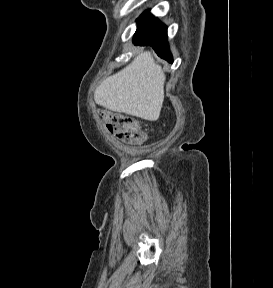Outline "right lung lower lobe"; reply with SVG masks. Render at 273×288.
Listing matches in <instances>:
<instances>
[{
    "mask_svg": "<svg viewBox=\"0 0 273 288\" xmlns=\"http://www.w3.org/2000/svg\"><path fill=\"white\" fill-rule=\"evenodd\" d=\"M137 22L138 28L134 35V43L152 46L161 58L172 63V55L169 52L167 42V27L149 11L144 12Z\"/></svg>",
    "mask_w": 273,
    "mask_h": 288,
    "instance_id": "right-lung-lower-lobe-1",
    "label": "right lung lower lobe"
}]
</instances>
